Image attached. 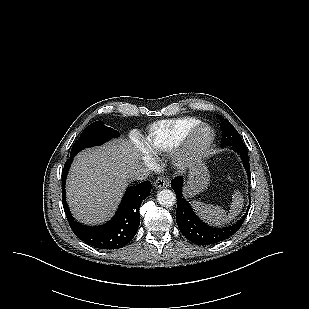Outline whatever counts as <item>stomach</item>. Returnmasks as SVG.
<instances>
[{
    "label": "stomach",
    "mask_w": 309,
    "mask_h": 309,
    "mask_svg": "<svg viewBox=\"0 0 309 309\" xmlns=\"http://www.w3.org/2000/svg\"><path fill=\"white\" fill-rule=\"evenodd\" d=\"M209 180V172L203 158L196 156L189 164L188 179L184 189L186 196L193 197L205 190Z\"/></svg>",
    "instance_id": "1"
}]
</instances>
